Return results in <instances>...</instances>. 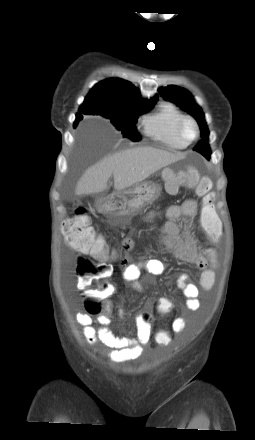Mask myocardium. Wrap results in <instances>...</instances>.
<instances>
[{"mask_svg":"<svg viewBox=\"0 0 255 440\" xmlns=\"http://www.w3.org/2000/svg\"><path fill=\"white\" fill-rule=\"evenodd\" d=\"M190 124L194 128V135L192 138H187L184 134V127ZM178 137L185 142L186 144H190L197 140L200 136V128L197 123V121L189 115H185L181 118V120L178 122L177 129H176Z\"/></svg>","mask_w":255,"mask_h":440,"instance_id":"f54148a6","label":"myocardium"}]
</instances>
